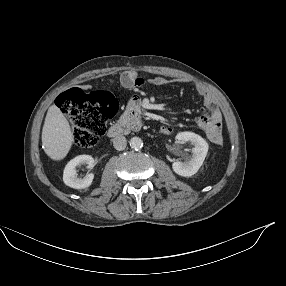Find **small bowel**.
Segmentation results:
<instances>
[{
    "label": "small bowel",
    "mask_w": 286,
    "mask_h": 286,
    "mask_svg": "<svg viewBox=\"0 0 286 286\" xmlns=\"http://www.w3.org/2000/svg\"><path fill=\"white\" fill-rule=\"evenodd\" d=\"M118 81L121 85L125 87L144 86L146 84L162 86L166 83L165 80L162 78H154L148 81L146 79L139 77L138 74L133 71H126L122 73ZM196 91L202 97L203 102L206 106L205 114L200 116L196 121L197 126L202 131L210 123H217L222 127V114L215 105L212 95L206 88L202 86H198ZM141 104H142V99L139 96H134L129 100V106L132 109H137ZM161 132L163 134H170L172 132V128L170 126H162Z\"/></svg>",
    "instance_id": "obj_1"
}]
</instances>
